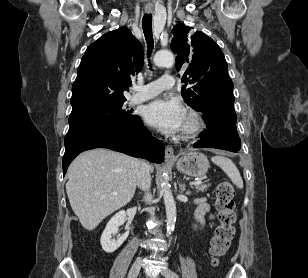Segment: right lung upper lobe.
Instances as JSON below:
<instances>
[{"instance_id": "right-lung-upper-lobe-1", "label": "right lung upper lobe", "mask_w": 308, "mask_h": 278, "mask_svg": "<svg viewBox=\"0 0 308 278\" xmlns=\"http://www.w3.org/2000/svg\"><path fill=\"white\" fill-rule=\"evenodd\" d=\"M141 43L125 27L89 45L72 86L70 116L124 103V90L143 67Z\"/></svg>"}]
</instances>
